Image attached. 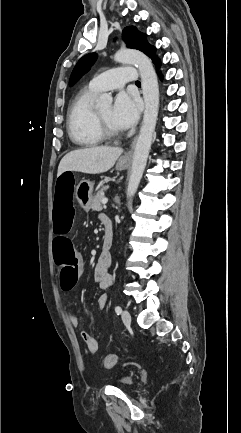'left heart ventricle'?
Instances as JSON below:
<instances>
[{
  "mask_svg": "<svg viewBox=\"0 0 241 433\" xmlns=\"http://www.w3.org/2000/svg\"><path fill=\"white\" fill-rule=\"evenodd\" d=\"M105 123L113 130L119 131V129L113 124L111 119L112 107L110 105L104 106L97 110Z\"/></svg>",
  "mask_w": 241,
  "mask_h": 433,
  "instance_id": "obj_1",
  "label": "left heart ventricle"
}]
</instances>
